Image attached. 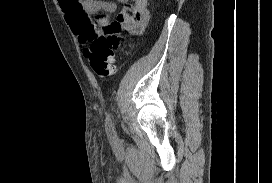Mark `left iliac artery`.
Here are the masks:
<instances>
[{"mask_svg":"<svg viewBox=\"0 0 272 183\" xmlns=\"http://www.w3.org/2000/svg\"><path fill=\"white\" fill-rule=\"evenodd\" d=\"M105 126H106V129H107L108 133H109L111 136L116 137V132H115V128H114V123H113V121H112V118H111V114H110V113H107V114H106Z\"/></svg>","mask_w":272,"mask_h":183,"instance_id":"44dca946","label":"left iliac artery"}]
</instances>
